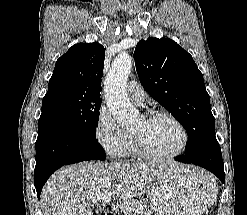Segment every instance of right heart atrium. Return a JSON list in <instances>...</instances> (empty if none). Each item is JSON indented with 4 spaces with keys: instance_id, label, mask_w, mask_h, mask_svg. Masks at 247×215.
<instances>
[{
    "instance_id": "d8ad5b80",
    "label": "right heart atrium",
    "mask_w": 247,
    "mask_h": 215,
    "mask_svg": "<svg viewBox=\"0 0 247 215\" xmlns=\"http://www.w3.org/2000/svg\"><path fill=\"white\" fill-rule=\"evenodd\" d=\"M94 136L108 155L116 158L124 156L129 135L119 127L104 106H101L98 110Z\"/></svg>"
}]
</instances>
